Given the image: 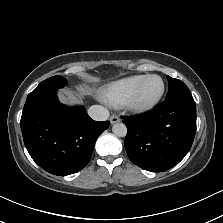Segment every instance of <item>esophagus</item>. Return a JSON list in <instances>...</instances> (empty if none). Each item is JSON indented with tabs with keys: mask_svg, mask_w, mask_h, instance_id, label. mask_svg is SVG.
I'll return each mask as SVG.
<instances>
[{
	"mask_svg": "<svg viewBox=\"0 0 223 223\" xmlns=\"http://www.w3.org/2000/svg\"><path fill=\"white\" fill-rule=\"evenodd\" d=\"M109 120H110L111 124L120 122V118L117 115H115V114L111 115Z\"/></svg>",
	"mask_w": 223,
	"mask_h": 223,
	"instance_id": "obj_1",
	"label": "esophagus"
}]
</instances>
